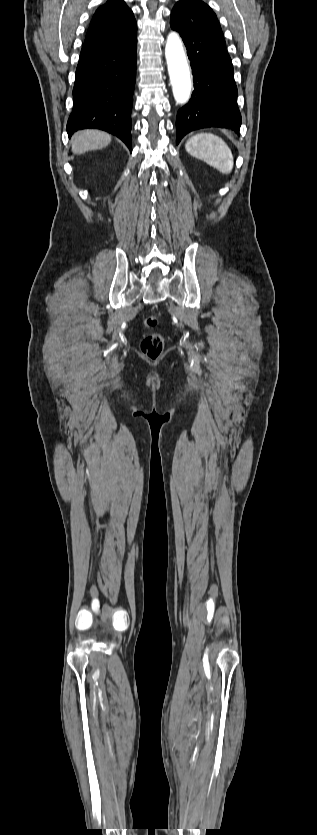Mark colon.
<instances>
[{"label":"colon","instance_id":"colon-1","mask_svg":"<svg viewBox=\"0 0 317 835\" xmlns=\"http://www.w3.org/2000/svg\"><path fill=\"white\" fill-rule=\"evenodd\" d=\"M157 322V318L152 315L146 316L143 320V324L146 328L155 327ZM163 348L164 337L159 333L146 335L141 342V352L151 359L157 358L162 353Z\"/></svg>","mask_w":317,"mask_h":835}]
</instances>
